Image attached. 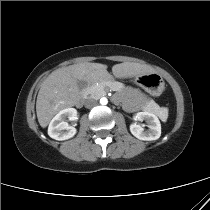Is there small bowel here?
Instances as JSON below:
<instances>
[{"instance_id": "small-bowel-1", "label": "small bowel", "mask_w": 210, "mask_h": 210, "mask_svg": "<svg viewBox=\"0 0 210 210\" xmlns=\"http://www.w3.org/2000/svg\"><path fill=\"white\" fill-rule=\"evenodd\" d=\"M115 100H116V101H122V100H124V99H123V97H122L121 95H119V96H116V97H115ZM124 103H125V107H126L127 109H129V110H132V109H133V105H132L131 101H129V100H124Z\"/></svg>"}]
</instances>
